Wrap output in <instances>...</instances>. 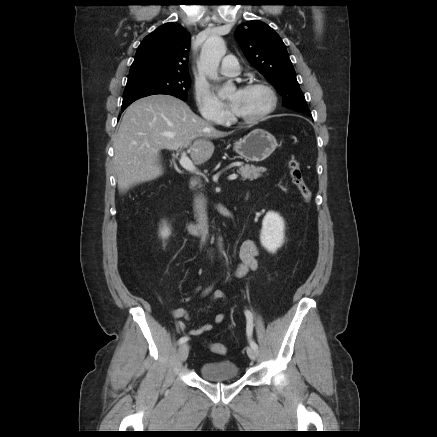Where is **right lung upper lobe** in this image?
<instances>
[{
	"label": "right lung upper lobe",
	"mask_w": 437,
	"mask_h": 437,
	"mask_svg": "<svg viewBox=\"0 0 437 437\" xmlns=\"http://www.w3.org/2000/svg\"><path fill=\"white\" fill-rule=\"evenodd\" d=\"M189 49V32L175 22L166 23L143 39L130 72L147 70L189 75Z\"/></svg>",
	"instance_id": "1"
}]
</instances>
